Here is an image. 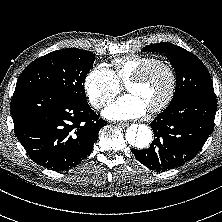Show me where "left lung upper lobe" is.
<instances>
[{"label": "left lung upper lobe", "instance_id": "5c2ea615", "mask_svg": "<svg viewBox=\"0 0 222 222\" xmlns=\"http://www.w3.org/2000/svg\"><path fill=\"white\" fill-rule=\"evenodd\" d=\"M143 51L164 53L174 67L177 85L174 98L168 107L190 97L216 99L211 76L194 54L169 42L148 45Z\"/></svg>", "mask_w": 222, "mask_h": 222}]
</instances>
